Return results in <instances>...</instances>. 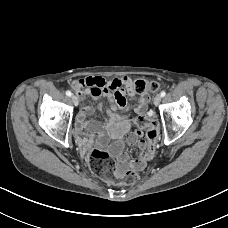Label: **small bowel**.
<instances>
[{"instance_id": "obj_1", "label": "small bowel", "mask_w": 228, "mask_h": 228, "mask_svg": "<svg viewBox=\"0 0 228 228\" xmlns=\"http://www.w3.org/2000/svg\"><path fill=\"white\" fill-rule=\"evenodd\" d=\"M75 90L82 100L88 97H92L94 100L104 98L108 104L107 115L103 124L87 121L86 117L92 112V108L86 105L80 107L76 118V135L80 145L82 147L89 145V139L86 137L87 132L99 133L102 142H106L107 138L115 139L117 142L112 144L110 149L116 155L120 167L130 166L142 170L146 164L145 160L138 159L128 163L129 155L123 150L121 139L125 137L128 144H137L142 150L145 149L146 141L143 139V131L141 129L129 130L127 113L131 106L128 104V99L136 101L132 110L136 117H139L147 111L149 96L143 94L137 98L134 82L128 77L109 80L98 76L85 77L77 81Z\"/></svg>"}]
</instances>
